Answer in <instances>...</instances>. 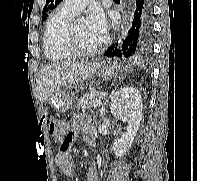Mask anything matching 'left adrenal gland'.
Instances as JSON below:
<instances>
[{
  "instance_id": "left-adrenal-gland-1",
  "label": "left adrenal gland",
  "mask_w": 197,
  "mask_h": 181,
  "mask_svg": "<svg viewBox=\"0 0 197 181\" xmlns=\"http://www.w3.org/2000/svg\"><path fill=\"white\" fill-rule=\"evenodd\" d=\"M114 93H115V90L112 91V93L109 95V97L104 102V104H103V106L100 110V116L101 117H103L105 115L107 103L109 102V99H111L113 97Z\"/></svg>"
}]
</instances>
